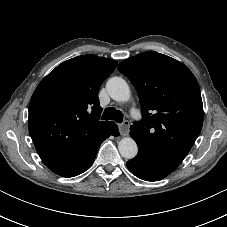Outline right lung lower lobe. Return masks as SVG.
Wrapping results in <instances>:
<instances>
[{"mask_svg": "<svg viewBox=\"0 0 227 227\" xmlns=\"http://www.w3.org/2000/svg\"><path fill=\"white\" fill-rule=\"evenodd\" d=\"M118 134V128L117 126L114 124L112 126V128L109 130V132L106 134L105 138L103 139V141L108 138L110 135H117ZM102 141V142H103ZM101 142V143H102ZM100 143V144H101ZM100 144L95 148V150L86 158L84 159L79 165H77L74 169H72L71 171H69L68 173L61 175L63 177H74L77 176L81 173H83L84 171H86L94 162L98 148L100 146Z\"/></svg>", "mask_w": 227, "mask_h": 227, "instance_id": "obj_1", "label": "right lung lower lobe"}]
</instances>
